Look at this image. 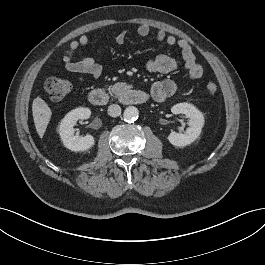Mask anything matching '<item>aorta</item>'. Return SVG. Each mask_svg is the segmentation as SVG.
Returning a JSON list of instances; mask_svg holds the SVG:
<instances>
[{
	"mask_svg": "<svg viewBox=\"0 0 265 265\" xmlns=\"http://www.w3.org/2000/svg\"><path fill=\"white\" fill-rule=\"evenodd\" d=\"M139 111L134 106H129L125 108L123 117L126 121H135L138 119Z\"/></svg>",
	"mask_w": 265,
	"mask_h": 265,
	"instance_id": "1",
	"label": "aorta"
}]
</instances>
